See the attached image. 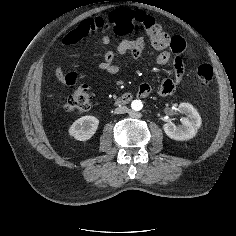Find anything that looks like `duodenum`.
Listing matches in <instances>:
<instances>
[{"label": "duodenum", "instance_id": "1", "mask_svg": "<svg viewBox=\"0 0 236 236\" xmlns=\"http://www.w3.org/2000/svg\"><path fill=\"white\" fill-rule=\"evenodd\" d=\"M133 98V94L130 92H125L121 94L115 101V105L120 106V105H125L128 104Z\"/></svg>", "mask_w": 236, "mask_h": 236}]
</instances>
